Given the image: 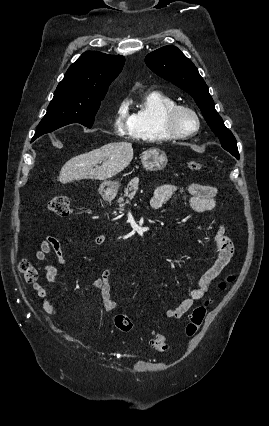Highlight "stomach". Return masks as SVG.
<instances>
[{
  "instance_id": "1",
  "label": "stomach",
  "mask_w": 269,
  "mask_h": 426,
  "mask_svg": "<svg viewBox=\"0 0 269 426\" xmlns=\"http://www.w3.org/2000/svg\"><path fill=\"white\" fill-rule=\"evenodd\" d=\"M141 162L144 168L150 171H158L165 168L167 164V156L160 149H149L143 152ZM120 184L116 181H104L99 187V193L102 197L110 199L114 197L119 189Z\"/></svg>"
}]
</instances>
